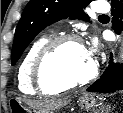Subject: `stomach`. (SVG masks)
I'll return each instance as SVG.
<instances>
[{
	"label": "stomach",
	"mask_w": 123,
	"mask_h": 113,
	"mask_svg": "<svg viewBox=\"0 0 123 113\" xmlns=\"http://www.w3.org/2000/svg\"><path fill=\"white\" fill-rule=\"evenodd\" d=\"M78 102L81 109L89 110L95 106L96 99L93 95L84 94L79 98ZM9 108L11 112L32 113V110L29 107H26L21 101L17 99H11L9 101Z\"/></svg>",
	"instance_id": "0dacf381"
}]
</instances>
